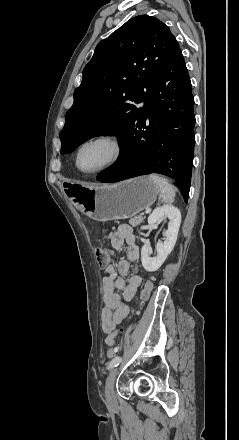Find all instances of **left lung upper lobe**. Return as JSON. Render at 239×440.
I'll list each match as a JSON object with an SVG mask.
<instances>
[{"label":"left lung upper lobe","instance_id":"left-lung-upper-lobe-1","mask_svg":"<svg viewBox=\"0 0 239 440\" xmlns=\"http://www.w3.org/2000/svg\"><path fill=\"white\" fill-rule=\"evenodd\" d=\"M177 45L159 19L136 16L101 41L60 132L61 154L99 135L121 136Z\"/></svg>","mask_w":239,"mask_h":440}]
</instances>
